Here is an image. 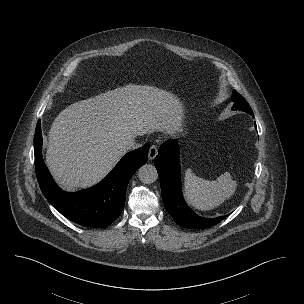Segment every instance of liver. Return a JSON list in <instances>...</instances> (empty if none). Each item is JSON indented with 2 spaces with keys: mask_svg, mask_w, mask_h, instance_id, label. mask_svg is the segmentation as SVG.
<instances>
[{
  "mask_svg": "<svg viewBox=\"0 0 304 304\" xmlns=\"http://www.w3.org/2000/svg\"><path fill=\"white\" fill-rule=\"evenodd\" d=\"M183 111L173 93L149 85L128 84L73 103L51 125L46 164L63 189L92 186L126 153L129 138L174 134Z\"/></svg>",
  "mask_w": 304,
  "mask_h": 304,
  "instance_id": "1",
  "label": "liver"
}]
</instances>
